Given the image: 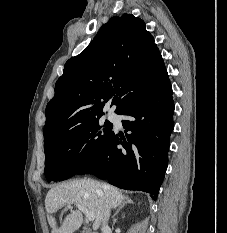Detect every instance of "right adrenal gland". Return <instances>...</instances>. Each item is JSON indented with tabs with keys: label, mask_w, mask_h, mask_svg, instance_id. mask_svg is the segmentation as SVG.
Here are the masks:
<instances>
[{
	"label": "right adrenal gland",
	"mask_w": 227,
	"mask_h": 233,
	"mask_svg": "<svg viewBox=\"0 0 227 233\" xmlns=\"http://www.w3.org/2000/svg\"><path fill=\"white\" fill-rule=\"evenodd\" d=\"M130 203L133 204L132 200H127L124 204H122L121 206H119V208L116 210V212L114 213V215L112 216V220L115 223L116 222V215L124 208L125 204Z\"/></svg>",
	"instance_id": "obj_1"
}]
</instances>
